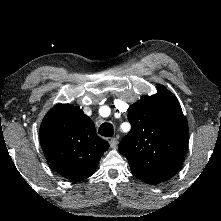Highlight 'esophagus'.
<instances>
[{
  "label": "esophagus",
  "instance_id": "esophagus-1",
  "mask_svg": "<svg viewBox=\"0 0 221 221\" xmlns=\"http://www.w3.org/2000/svg\"><path fill=\"white\" fill-rule=\"evenodd\" d=\"M110 147L115 149L118 145V140L117 138H111L109 141Z\"/></svg>",
  "mask_w": 221,
  "mask_h": 221
}]
</instances>
